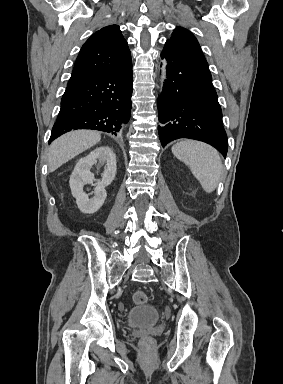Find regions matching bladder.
<instances>
[{
	"mask_svg": "<svg viewBox=\"0 0 283 384\" xmlns=\"http://www.w3.org/2000/svg\"><path fill=\"white\" fill-rule=\"evenodd\" d=\"M158 321L159 312L152 304H134L126 315V323L135 327L149 326Z\"/></svg>",
	"mask_w": 283,
	"mask_h": 384,
	"instance_id": "obj_1",
	"label": "bladder"
}]
</instances>
